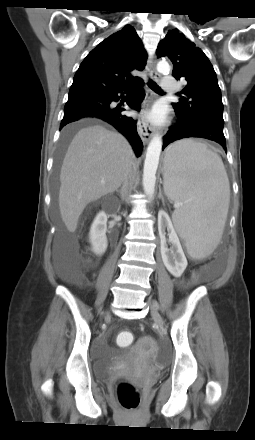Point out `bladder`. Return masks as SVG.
<instances>
[{
    "instance_id": "1",
    "label": "bladder",
    "mask_w": 255,
    "mask_h": 440,
    "mask_svg": "<svg viewBox=\"0 0 255 440\" xmlns=\"http://www.w3.org/2000/svg\"><path fill=\"white\" fill-rule=\"evenodd\" d=\"M148 344L144 339H141L137 347L127 351L126 355L131 358L132 361H137L143 357L145 350H147ZM115 368L114 357H104L95 361V374L97 378L105 380L107 379L113 369Z\"/></svg>"
}]
</instances>
